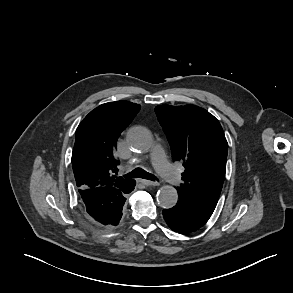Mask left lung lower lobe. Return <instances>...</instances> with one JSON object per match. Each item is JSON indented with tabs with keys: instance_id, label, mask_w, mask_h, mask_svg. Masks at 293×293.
I'll return each mask as SVG.
<instances>
[{
	"instance_id": "0a47b994",
	"label": "left lung lower lobe",
	"mask_w": 293,
	"mask_h": 293,
	"mask_svg": "<svg viewBox=\"0 0 293 293\" xmlns=\"http://www.w3.org/2000/svg\"><path fill=\"white\" fill-rule=\"evenodd\" d=\"M178 196V202L174 207L163 210L166 223L173 231L180 234L198 230L208 221L214 209L179 192Z\"/></svg>"
}]
</instances>
